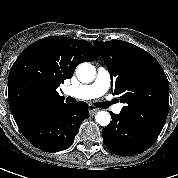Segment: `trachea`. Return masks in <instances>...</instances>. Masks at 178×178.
Here are the masks:
<instances>
[{
  "label": "trachea",
  "mask_w": 178,
  "mask_h": 178,
  "mask_svg": "<svg viewBox=\"0 0 178 178\" xmlns=\"http://www.w3.org/2000/svg\"><path fill=\"white\" fill-rule=\"evenodd\" d=\"M96 107L106 109L107 108V103L106 102H98L95 104Z\"/></svg>",
  "instance_id": "trachea-1"
}]
</instances>
